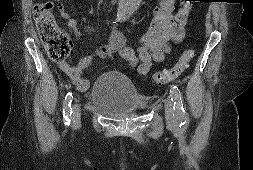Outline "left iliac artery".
Instances as JSON below:
<instances>
[{
    "mask_svg": "<svg viewBox=\"0 0 253 170\" xmlns=\"http://www.w3.org/2000/svg\"><path fill=\"white\" fill-rule=\"evenodd\" d=\"M170 97H171V100L174 102L173 109L181 120L180 128L183 131H186V129L188 127V123H189L188 122V115L183 107L181 92L177 86H172V88L170 90Z\"/></svg>",
    "mask_w": 253,
    "mask_h": 170,
    "instance_id": "1",
    "label": "left iliac artery"
}]
</instances>
